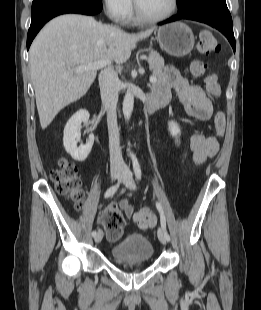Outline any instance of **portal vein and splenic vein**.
<instances>
[{
  "label": "portal vein and splenic vein",
  "instance_id": "portal-vein-and-splenic-vein-1",
  "mask_svg": "<svg viewBox=\"0 0 261 310\" xmlns=\"http://www.w3.org/2000/svg\"><path fill=\"white\" fill-rule=\"evenodd\" d=\"M111 63H112L111 60H100V61H97L95 63H90V64L78 66L74 69V71H75V73H80V72H84V71L97 70V69L105 67L106 65H109ZM149 81H150V83H155L157 81V79L155 76H151L149 78Z\"/></svg>",
  "mask_w": 261,
  "mask_h": 310
}]
</instances>
